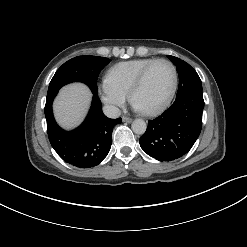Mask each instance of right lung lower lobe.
<instances>
[{
	"mask_svg": "<svg viewBox=\"0 0 247 247\" xmlns=\"http://www.w3.org/2000/svg\"><path fill=\"white\" fill-rule=\"evenodd\" d=\"M57 92L47 95L45 104L47 133L52 147L64 161L76 167L91 168L100 164L110 151L113 127L122 119L106 117L97 94H94L91 109L82 125L76 130L65 131L53 117L52 102Z\"/></svg>",
	"mask_w": 247,
	"mask_h": 247,
	"instance_id": "obj_1",
	"label": "right lung lower lobe"
}]
</instances>
